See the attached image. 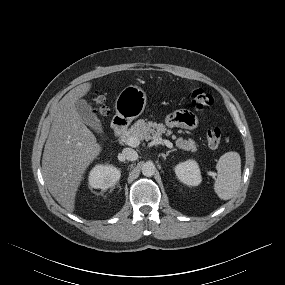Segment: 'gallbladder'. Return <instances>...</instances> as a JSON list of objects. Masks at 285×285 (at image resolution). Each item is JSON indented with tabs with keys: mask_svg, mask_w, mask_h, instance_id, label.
Here are the masks:
<instances>
[{
	"mask_svg": "<svg viewBox=\"0 0 285 285\" xmlns=\"http://www.w3.org/2000/svg\"><path fill=\"white\" fill-rule=\"evenodd\" d=\"M75 107L83 123L102 136L104 134L102 123L87 101L83 99L77 100Z\"/></svg>",
	"mask_w": 285,
	"mask_h": 285,
	"instance_id": "obj_1",
	"label": "gallbladder"
}]
</instances>
